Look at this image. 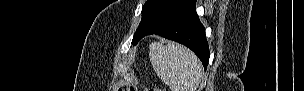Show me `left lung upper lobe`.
<instances>
[{
  "label": "left lung upper lobe",
  "instance_id": "5c2ea615",
  "mask_svg": "<svg viewBox=\"0 0 304 91\" xmlns=\"http://www.w3.org/2000/svg\"><path fill=\"white\" fill-rule=\"evenodd\" d=\"M171 0H147L142 8V19L133 36L132 43L137 44L142 35L155 23Z\"/></svg>",
  "mask_w": 304,
  "mask_h": 91
}]
</instances>
